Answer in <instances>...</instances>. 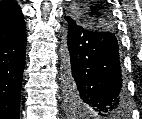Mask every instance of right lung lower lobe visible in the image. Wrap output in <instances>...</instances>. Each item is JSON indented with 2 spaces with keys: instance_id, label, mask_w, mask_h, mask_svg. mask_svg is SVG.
Returning <instances> with one entry per match:
<instances>
[{
  "instance_id": "right-lung-lower-lobe-1",
  "label": "right lung lower lobe",
  "mask_w": 142,
  "mask_h": 119,
  "mask_svg": "<svg viewBox=\"0 0 142 119\" xmlns=\"http://www.w3.org/2000/svg\"><path fill=\"white\" fill-rule=\"evenodd\" d=\"M26 30L0 42V119H19Z\"/></svg>"
}]
</instances>
